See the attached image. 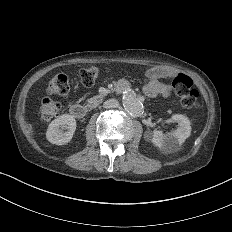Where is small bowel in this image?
Returning <instances> with one entry per match:
<instances>
[{
	"mask_svg": "<svg viewBox=\"0 0 232 232\" xmlns=\"http://www.w3.org/2000/svg\"><path fill=\"white\" fill-rule=\"evenodd\" d=\"M144 89L147 95L154 96L159 93L161 85L156 79L152 78L146 82Z\"/></svg>",
	"mask_w": 232,
	"mask_h": 232,
	"instance_id": "c3829d8e",
	"label": "small bowel"
}]
</instances>
